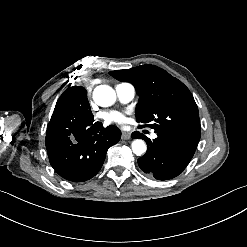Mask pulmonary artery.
<instances>
[{"mask_svg":"<svg viewBox=\"0 0 247 247\" xmlns=\"http://www.w3.org/2000/svg\"><path fill=\"white\" fill-rule=\"evenodd\" d=\"M115 90L118 99L123 103L130 102L136 95L135 86L131 83H119L115 86ZM152 137L156 138L157 135L152 133Z\"/></svg>","mask_w":247,"mask_h":247,"instance_id":"obj_1","label":"pulmonary artery"}]
</instances>
